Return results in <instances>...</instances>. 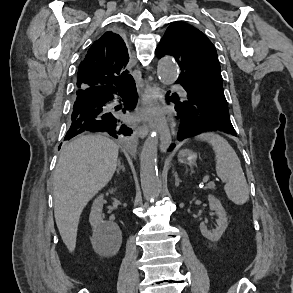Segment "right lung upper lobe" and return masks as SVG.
<instances>
[{
	"label": "right lung upper lobe",
	"instance_id": "cb5924a9",
	"mask_svg": "<svg viewBox=\"0 0 293 293\" xmlns=\"http://www.w3.org/2000/svg\"><path fill=\"white\" fill-rule=\"evenodd\" d=\"M129 55L120 35L107 31L93 43L78 69L77 87H120L133 80L126 70Z\"/></svg>",
	"mask_w": 293,
	"mask_h": 293
}]
</instances>
